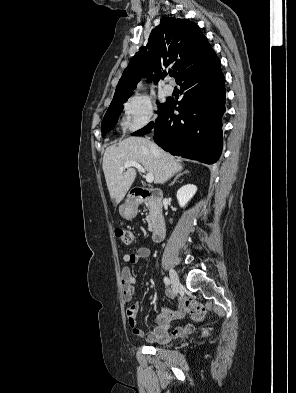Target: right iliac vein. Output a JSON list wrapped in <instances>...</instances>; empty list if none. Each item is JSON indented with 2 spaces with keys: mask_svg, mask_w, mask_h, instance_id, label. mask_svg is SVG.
<instances>
[{
  "mask_svg": "<svg viewBox=\"0 0 296 393\" xmlns=\"http://www.w3.org/2000/svg\"><path fill=\"white\" fill-rule=\"evenodd\" d=\"M170 279H171L173 291L177 293L180 287V280L176 271L173 269L170 270Z\"/></svg>",
  "mask_w": 296,
  "mask_h": 393,
  "instance_id": "63e3f726",
  "label": "right iliac vein"
}]
</instances>
